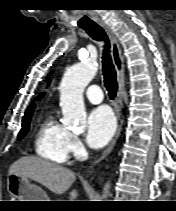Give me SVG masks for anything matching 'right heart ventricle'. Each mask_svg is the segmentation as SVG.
I'll return each instance as SVG.
<instances>
[{
    "mask_svg": "<svg viewBox=\"0 0 176 211\" xmlns=\"http://www.w3.org/2000/svg\"><path fill=\"white\" fill-rule=\"evenodd\" d=\"M70 132L61 125L52 113L38 124L34 146L38 156L54 163H65L69 157Z\"/></svg>",
    "mask_w": 176,
    "mask_h": 211,
    "instance_id": "e07e8e85",
    "label": "right heart ventricle"
}]
</instances>
